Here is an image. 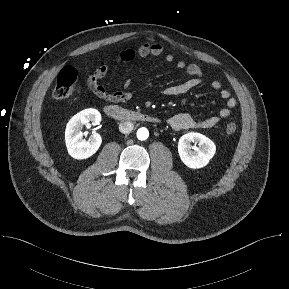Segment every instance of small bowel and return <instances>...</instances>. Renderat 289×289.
Returning a JSON list of instances; mask_svg holds the SVG:
<instances>
[{
  "label": "small bowel",
  "instance_id": "small-bowel-1",
  "mask_svg": "<svg viewBox=\"0 0 289 289\" xmlns=\"http://www.w3.org/2000/svg\"><path fill=\"white\" fill-rule=\"evenodd\" d=\"M164 54V48L157 42H146L141 44L138 48L124 49L120 51L115 60L117 62H131L137 57L145 58L148 56H161ZM165 61L173 62L174 57L171 54L165 55ZM176 67L186 72L189 79L186 81L170 85L163 89V94L168 97H177L184 95L195 89L205 81V75L202 69L197 64H186L184 61H178ZM108 66L102 64L98 66L94 72L88 77L87 85L89 89L100 99L107 102H126L131 98V93L128 90L117 92H108L100 81L106 77L108 73ZM212 89L218 91L220 97L225 100L226 107L220 109L218 113L209 118L199 120L187 113H180L169 118L168 123L174 130H188V129H208L216 126L222 119L228 118L231 115V110L237 105V101L231 96L230 92L222 89L219 80H212L210 83Z\"/></svg>",
  "mask_w": 289,
  "mask_h": 289
}]
</instances>
